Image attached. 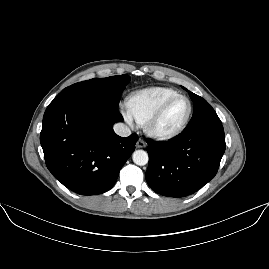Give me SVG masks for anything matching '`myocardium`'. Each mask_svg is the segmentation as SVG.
I'll return each instance as SVG.
<instances>
[{"instance_id":"obj_1","label":"myocardium","mask_w":269,"mask_h":269,"mask_svg":"<svg viewBox=\"0 0 269 269\" xmlns=\"http://www.w3.org/2000/svg\"><path fill=\"white\" fill-rule=\"evenodd\" d=\"M178 99H185L188 102V111L185 116L184 121L182 124L173 132L171 133H160L156 130V125L161 120L169 106ZM192 114V103L190 99L184 95H176L161 104V106L149 117L146 124L144 125L146 133L153 139L157 141H168L174 139L182 134V132L186 129L190 117Z\"/></svg>"}]
</instances>
